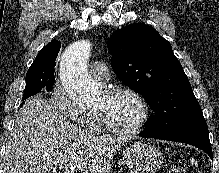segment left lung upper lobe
<instances>
[{
    "mask_svg": "<svg viewBox=\"0 0 219 173\" xmlns=\"http://www.w3.org/2000/svg\"><path fill=\"white\" fill-rule=\"evenodd\" d=\"M112 68L123 84L142 94L155 111L143 132L170 134L206 121L170 43L152 27L132 24L109 38Z\"/></svg>",
    "mask_w": 219,
    "mask_h": 173,
    "instance_id": "1",
    "label": "left lung upper lobe"
}]
</instances>
